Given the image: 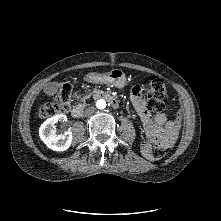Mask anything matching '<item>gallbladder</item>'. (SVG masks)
<instances>
[{
    "label": "gallbladder",
    "mask_w": 221,
    "mask_h": 221,
    "mask_svg": "<svg viewBox=\"0 0 221 221\" xmlns=\"http://www.w3.org/2000/svg\"><path fill=\"white\" fill-rule=\"evenodd\" d=\"M60 87V83H52L48 86L50 89L57 90Z\"/></svg>",
    "instance_id": "gallbladder-1"
}]
</instances>
